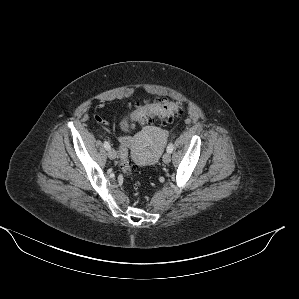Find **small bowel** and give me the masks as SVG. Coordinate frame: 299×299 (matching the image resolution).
Instances as JSON below:
<instances>
[{"label":"small bowel","instance_id":"obj_1","mask_svg":"<svg viewBox=\"0 0 299 299\" xmlns=\"http://www.w3.org/2000/svg\"><path fill=\"white\" fill-rule=\"evenodd\" d=\"M119 142H120V153H122L125 149H128L129 140L125 137H120Z\"/></svg>","mask_w":299,"mask_h":299}]
</instances>
